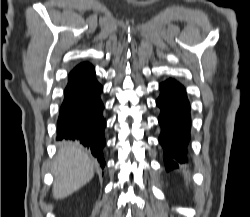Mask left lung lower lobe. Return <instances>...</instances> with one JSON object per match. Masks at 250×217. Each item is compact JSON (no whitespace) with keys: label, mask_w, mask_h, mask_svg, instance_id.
I'll return each instance as SVG.
<instances>
[{"label":"left lung lower lobe","mask_w":250,"mask_h":217,"mask_svg":"<svg viewBox=\"0 0 250 217\" xmlns=\"http://www.w3.org/2000/svg\"><path fill=\"white\" fill-rule=\"evenodd\" d=\"M160 96L156 104L161 109L159 142L165 154L166 169L176 168L187 160V144L190 140V104L185 88L174 79L159 85Z\"/></svg>","instance_id":"1"}]
</instances>
